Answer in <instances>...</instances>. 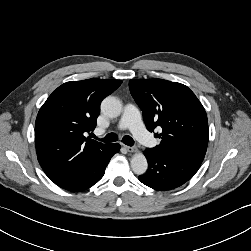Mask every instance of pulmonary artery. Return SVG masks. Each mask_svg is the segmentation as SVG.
I'll return each instance as SVG.
<instances>
[{
  "instance_id": "1",
  "label": "pulmonary artery",
  "mask_w": 251,
  "mask_h": 251,
  "mask_svg": "<svg viewBox=\"0 0 251 251\" xmlns=\"http://www.w3.org/2000/svg\"><path fill=\"white\" fill-rule=\"evenodd\" d=\"M118 128L129 129L141 143L147 146H153L155 144L154 138L146 131L141 121L138 108L132 103L125 105ZM102 132L101 130L98 131V133Z\"/></svg>"
}]
</instances>
